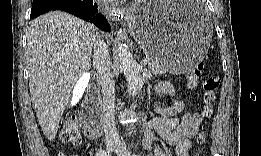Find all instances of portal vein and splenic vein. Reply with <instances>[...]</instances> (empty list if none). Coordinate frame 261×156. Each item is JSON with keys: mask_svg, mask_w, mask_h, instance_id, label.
Masks as SVG:
<instances>
[{"mask_svg": "<svg viewBox=\"0 0 261 156\" xmlns=\"http://www.w3.org/2000/svg\"><path fill=\"white\" fill-rule=\"evenodd\" d=\"M150 61H151V58H150V57H146V58L143 60L144 64H148V63H150Z\"/></svg>", "mask_w": 261, "mask_h": 156, "instance_id": "obj_1", "label": "portal vein and splenic vein"}]
</instances>
